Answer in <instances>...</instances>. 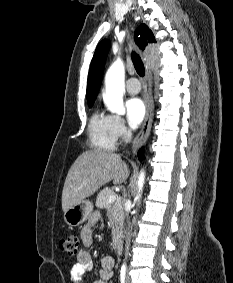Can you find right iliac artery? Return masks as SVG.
<instances>
[{
	"label": "right iliac artery",
	"instance_id": "obj_1",
	"mask_svg": "<svg viewBox=\"0 0 233 283\" xmlns=\"http://www.w3.org/2000/svg\"><path fill=\"white\" fill-rule=\"evenodd\" d=\"M126 267L122 266L120 270V282L125 283Z\"/></svg>",
	"mask_w": 233,
	"mask_h": 283
}]
</instances>
